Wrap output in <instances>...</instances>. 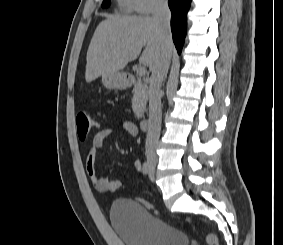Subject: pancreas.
Masks as SVG:
<instances>
[{"mask_svg": "<svg viewBox=\"0 0 283 245\" xmlns=\"http://www.w3.org/2000/svg\"><path fill=\"white\" fill-rule=\"evenodd\" d=\"M147 96V85L139 78L133 90L132 98V109L138 119L143 116L146 110Z\"/></svg>", "mask_w": 283, "mask_h": 245, "instance_id": "1", "label": "pancreas"}]
</instances>
